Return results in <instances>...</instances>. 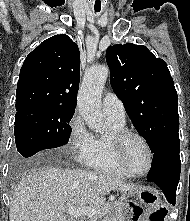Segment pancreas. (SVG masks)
I'll use <instances>...</instances> for the list:
<instances>
[{
  "label": "pancreas",
  "instance_id": "cf45deb5",
  "mask_svg": "<svg viewBox=\"0 0 190 221\" xmlns=\"http://www.w3.org/2000/svg\"><path fill=\"white\" fill-rule=\"evenodd\" d=\"M124 208L123 202H108L98 208L101 210V213L91 218L90 221H121V219H124Z\"/></svg>",
  "mask_w": 190,
  "mask_h": 221
}]
</instances>
